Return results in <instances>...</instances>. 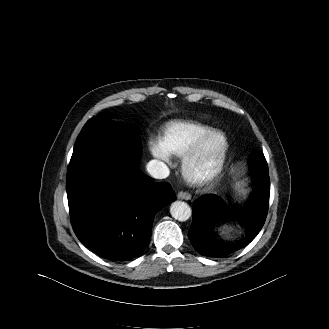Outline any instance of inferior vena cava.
Wrapping results in <instances>:
<instances>
[{"mask_svg": "<svg viewBox=\"0 0 329 329\" xmlns=\"http://www.w3.org/2000/svg\"><path fill=\"white\" fill-rule=\"evenodd\" d=\"M146 169L148 173L156 179H164L169 176V168L165 163L159 160H151L148 162Z\"/></svg>", "mask_w": 329, "mask_h": 329, "instance_id": "inferior-vena-cava-1", "label": "inferior vena cava"}]
</instances>
